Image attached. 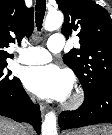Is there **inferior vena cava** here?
<instances>
[{"mask_svg":"<svg viewBox=\"0 0 112 135\" xmlns=\"http://www.w3.org/2000/svg\"><path fill=\"white\" fill-rule=\"evenodd\" d=\"M23 128H24V131H25V135H30L31 134V129H30V127L28 126V125H25V126H23Z\"/></svg>","mask_w":112,"mask_h":135,"instance_id":"inferior-vena-cava-1","label":"inferior vena cava"}]
</instances>
